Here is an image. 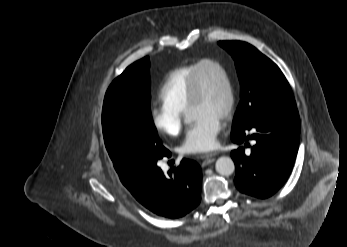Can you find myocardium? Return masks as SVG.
I'll use <instances>...</instances> for the list:
<instances>
[{"instance_id":"obj_1","label":"myocardium","mask_w":347,"mask_h":247,"mask_svg":"<svg viewBox=\"0 0 347 247\" xmlns=\"http://www.w3.org/2000/svg\"><path fill=\"white\" fill-rule=\"evenodd\" d=\"M204 66H212L217 68L225 78L228 92V101L222 118L228 119L231 117L236 104L234 81L229 69L222 62L212 58L202 59L198 61L196 65L189 86L187 109L197 103L201 98L200 70Z\"/></svg>"}]
</instances>
